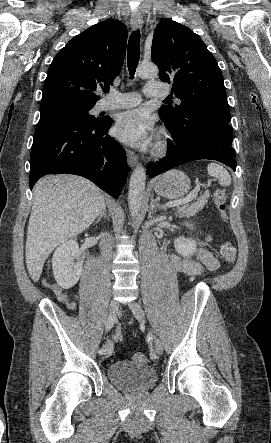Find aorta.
<instances>
[{
	"instance_id": "1",
	"label": "aorta",
	"mask_w": 271,
	"mask_h": 443,
	"mask_svg": "<svg viewBox=\"0 0 271 443\" xmlns=\"http://www.w3.org/2000/svg\"><path fill=\"white\" fill-rule=\"evenodd\" d=\"M137 74L140 78H156L159 70L155 64H141V66L137 68ZM145 186L146 172L141 164H137L130 178L128 192V206L132 220H136L139 212H141Z\"/></svg>"
}]
</instances>
